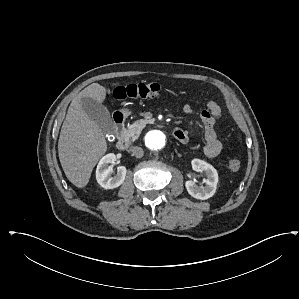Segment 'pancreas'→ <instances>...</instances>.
Instances as JSON below:
<instances>
[{
    "label": "pancreas",
    "instance_id": "1",
    "mask_svg": "<svg viewBox=\"0 0 299 299\" xmlns=\"http://www.w3.org/2000/svg\"><path fill=\"white\" fill-rule=\"evenodd\" d=\"M146 124V120H138L128 125L127 129L122 132V138L130 141L136 140Z\"/></svg>",
    "mask_w": 299,
    "mask_h": 299
}]
</instances>
